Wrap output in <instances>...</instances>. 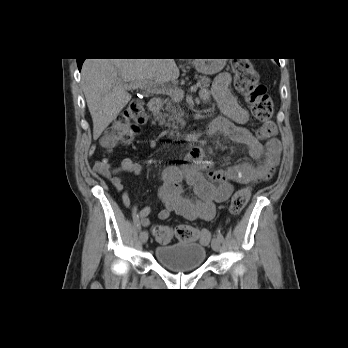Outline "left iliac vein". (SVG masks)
Listing matches in <instances>:
<instances>
[{"label":"left iliac vein","mask_w":348,"mask_h":348,"mask_svg":"<svg viewBox=\"0 0 348 348\" xmlns=\"http://www.w3.org/2000/svg\"><path fill=\"white\" fill-rule=\"evenodd\" d=\"M212 249L216 252L221 249V241L218 238H214L211 243Z\"/></svg>","instance_id":"obj_1"}]
</instances>
